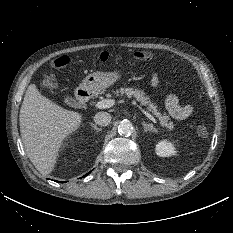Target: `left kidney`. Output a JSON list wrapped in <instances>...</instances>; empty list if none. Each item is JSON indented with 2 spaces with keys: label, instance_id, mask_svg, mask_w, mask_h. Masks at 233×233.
<instances>
[{
  "label": "left kidney",
  "instance_id": "5707ae66",
  "mask_svg": "<svg viewBox=\"0 0 233 233\" xmlns=\"http://www.w3.org/2000/svg\"><path fill=\"white\" fill-rule=\"evenodd\" d=\"M156 154L161 157H169L176 154L175 147L166 140L160 141L155 147Z\"/></svg>",
  "mask_w": 233,
  "mask_h": 233
}]
</instances>
